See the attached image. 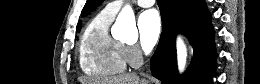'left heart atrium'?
<instances>
[{"mask_svg": "<svg viewBox=\"0 0 260 84\" xmlns=\"http://www.w3.org/2000/svg\"><path fill=\"white\" fill-rule=\"evenodd\" d=\"M139 39L141 47L149 51L158 41L161 32V19L159 13L154 10L142 12L138 20Z\"/></svg>", "mask_w": 260, "mask_h": 84, "instance_id": "1", "label": "left heart atrium"}]
</instances>
